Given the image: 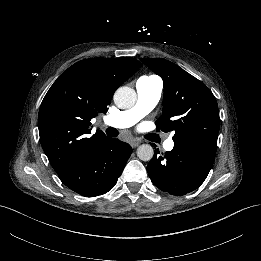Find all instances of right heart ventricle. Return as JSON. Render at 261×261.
<instances>
[{"label": "right heart ventricle", "mask_w": 261, "mask_h": 261, "mask_svg": "<svg viewBox=\"0 0 261 261\" xmlns=\"http://www.w3.org/2000/svg\"><path fill=\"white\" fill-rule=\"evenodd\" d=\"M151 80H161V79L153 74H145L138 79V81H151Z\"/></svg>", "instance_id": "1"}]
</instances>
